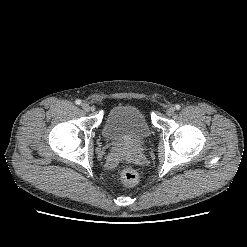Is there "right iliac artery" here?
<instances>
[{
  "instance_id": "82829eb1",
  "label": "right iliac artery",
  "mask_w": 247,
  "mask_h": 247,
  "mask_svg": "<svg viewBox=\"0 0 247 247\" xmlns=\"http://www.w3.org/2000/svg\"><path fill=\"white\" fill-rule=\"evenodd\" d=\"M75 103H76L77 105H80V104H81V100L77 99V100L75 101Z\"/></svg>"
}]
</instances>
